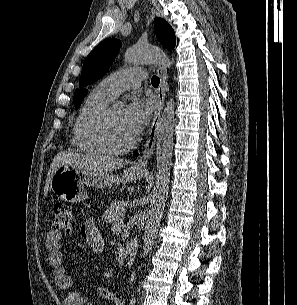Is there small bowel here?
I'll return each instance as SVG.
<instances>
[{"label":"small bowel","instance_id":"1","mask_svg":"<svg viewBox=\"0 0 297 305\" xmlns=\"http://www.w3.org/2000/svg\"><path fill=\"white\" fill-rule=\"evenodd\" d=\"M80 234L84 241L96 253H102L105 249V242L101 238L97 224L93 218L85 221L81 226ZM61 234L57 231L50 230L47 234L45 247L48 251V265L52 271V275L56 285L68 293L64 297V305H94L92 295L108 299L114 305H124L121 298L115 295L114 292L105 288L97 287L93 290L92 295H83L75 290H72L74 280L72 276L66 271L64 266V253L61 250Z\"/></svg>","mask_w":297,"mask_h":305}]
</instances>
